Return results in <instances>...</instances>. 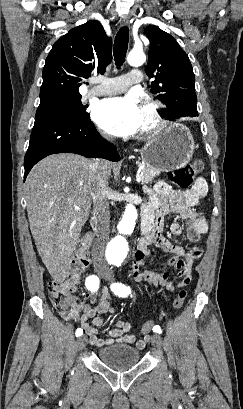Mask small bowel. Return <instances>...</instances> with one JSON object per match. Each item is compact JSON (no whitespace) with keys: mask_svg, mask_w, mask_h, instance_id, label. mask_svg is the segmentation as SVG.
Instances as JSON below:
<instances>
[{"mask_svg":"<svg viewBox=\"0 0 243 409\" xmlns=\"http://www.w3.org/2000/svg\"><path fill=\"white\" fill-rule=\"evenodd\" d=\"M208 191V186L203 178L197 179L194 185L185 191H176L165 182H158L149 191L150 198L144 210L155 212L156 218L152 232L138 244L131 275L132 278L141 285L149 284L152 288H165L174 291L177 288L185 287L191 282L192 263L200 258L203 253L201 246H194L185 250L179 245L171 243L162 236L163 221L167 214L177 213L186 221L187 237L191 242H199L206 234L208 225L206 218L199 214L194 208L203 199ZM173 235L182 234L183 228L178 223L170 226ZM155 249L162 250L172 255L168 265L174 267L178 273L175 278H170L166 272H157L143 267L144 260L153 254ZM179 280V283L176 281ZM75 316L78 318L82 330L89 337V342L95 347H105L114 343L136 344L139 349L144 348L150 339L149 335H144L136 340V336L129 334L131 325L127 321H118L115 326L108 331V338H98V330L103 326V319L100 314L112 315L115 313L112 298L107 289H103L98 298L96 306L89 303H78L74 299ZM80 311L82 314L79 316ZM91 320V323H90Z\"/></svg>","mask_w":243,"mask_h":409,"instance_id":"1","label":"small bowel"}]
</instances>
